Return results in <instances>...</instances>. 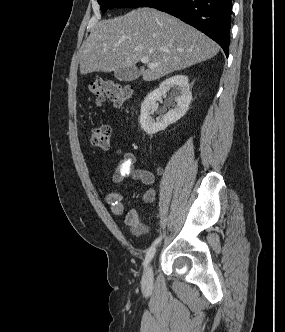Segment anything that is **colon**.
Listing matches in <instances>:
<instances>
[{"mask_svg":"<svg viewBox=\"0 0 285 332\" xmlns=\"http://www.w3.org/2000/svg\"><path fill=\"white\" fill-rule=\"evenodd\" d=\"M90 91L101 104L105 100L112 101L116 106H122L132 95V88L114 80L96 79L90 84ZM111 130L109 126L100 124L90 133V143L93 147L106 151L110 146Z\"/></svg>","mask_w":285,"mask_h":332,"instance_id":"1","label":"colon"}]
</instances>
